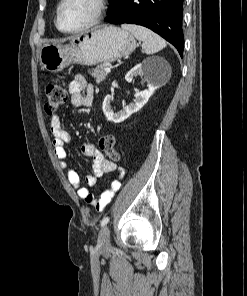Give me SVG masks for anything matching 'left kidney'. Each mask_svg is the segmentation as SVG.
<instances>
[{
    "mask_svg": "<svg viewBox=\"0 0 247 296\" xmlns=\"http://www.w3.org/2000/svg\"><path fill=\"white\" fill-rule=\"evenodd\" d=\"M166 64V61L160 58H153L144 60L133 67L125 76L127 82H132L135 76H144L147 81V89L137 92L132 103L125 106L121 111L114 113L112 110L111 102L112 97L106 96L103 101V113L105 114L108 121L114 123H120L127 119L130 115L137 112L142 108L153 95L155 90L158 88L157 71L160 65Z\"/></svg>",
    "mask_w": 247,
    "mask_h": 296,
    "instance_id": "5707ae66",
    "label": "left kidney"
}]
</instances>
